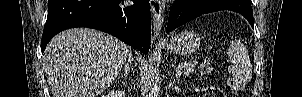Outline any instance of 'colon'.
<instances>
[{
  "mask_svg": "<svg viewBox=\"0 0 302 97\" xmlns=\"http://www.w3.org/2000/svg\"><path fill=\"white\" fill-rule=\"evenodd\" d=\"M213 66L208 60L203 61L199 66V72L202 75H209L212 73ZM230 87L235 91H242L244 88V83L238 80H230Z\"/></svg>",
  "mask_w": 302,
  "mask_h": 97,
  "instance_id": "colon-1",
  "label": "colon"
}]
</instances>
